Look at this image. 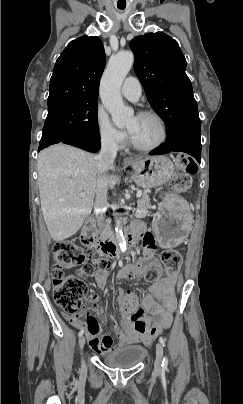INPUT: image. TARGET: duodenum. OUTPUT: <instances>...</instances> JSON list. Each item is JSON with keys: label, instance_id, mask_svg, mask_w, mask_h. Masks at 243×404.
I'll use <instances>...</instances> for the list:
<instances>
[{"label": "duodenum", "instance_id": "410a0bca", "mask_svg": "<svg viewBox=\"0 0 243 404\" xmlns=\"http://www.w3.org/2000/svg\"><path fill=\"white\" fill-rule=\"evenodd\" d=\"M140 235L137 229H132L125 237L126 245L128 247L136 245ZM80 238L84 245L94 248L100 256L116 258L120 255V247L115 239L103 240L96 238L91 221H88L84 226Z\"/></svg>", "mask_w": 243, "mask_h": 404}]
</instances>
